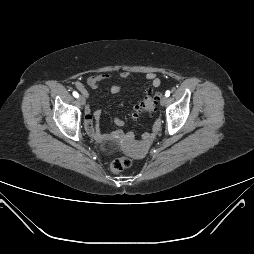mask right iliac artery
I'll list each match as a JSON object with an SVG mask.
<instances>
[{"instance_id": "82829eb1", "label": "right iliac artery", "mask_w": 254, "mask_h": 254, "mask_svg": "<svg viewBox=\"0 0 254 254\" xmlns=\"http://www.w3.org/2000/svg\"><path fill=\"white\" fill-rule=\"evenodd\" d=\"M73 96L76 97V98H78V97H79V94H78L76 91H74V92H73Z\"/></svg>"}]
</instances>
